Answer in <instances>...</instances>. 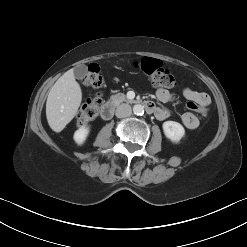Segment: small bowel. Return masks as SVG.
Returning <instances> with one entry per match:
<instances>
[{
    "instance_id": "obj_1",
    "label": "small bowel",
    "mask_w": 247,
    "mask_h": 247,
    "mask_svg": "<svg viewBox=\"0 0 247 247\" xmlns=\"http://www.w3.org/2000/svg\"><path fill=\"white\" fill-rule=\"evenodd\" d=\"M182 94L188 100V103H196L205 107L211 103L210 96L205 92H199L187 87L183 89ZM156 97L161 102H169L174 99L173 95L165 89H158ZM154 114L159 120H164L170 116L169 110L161 107H156ZM181 120L183 125L189 130L196 129L199 126L198 117L191 112L184 113Z\"/></svg>"
}]
</instances>
